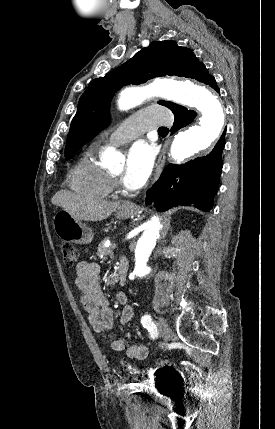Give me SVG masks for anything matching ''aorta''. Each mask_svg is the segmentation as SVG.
<instances>
[{"mask_svg":"<svg viewBox=\"0 0 275 429\" xmlns=\"http://www.w3.org/2000/svg\"><path fill=\"white\" fill-rule=\"evenodd\" d=\"M161 97L175 103L192 107L201 112L198 125H193L175 135L170 156L181 162L201 151H205L219 136L226 119V109L217 92L205 84L169 79L156 80L145 88L124 89L118 99L119 110H129L146 98ZM103 158L111 169L119 165V158L112 148H107ZM160 220L152 217L145 226L135 248V273L145 276L150 272L147 266L160 232Z\"/></svg>","mask_w":275,"mask_h":429,"instance_id":"1","label":"aorta"}]
</instances>
